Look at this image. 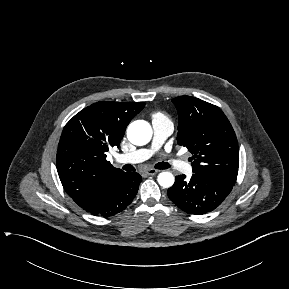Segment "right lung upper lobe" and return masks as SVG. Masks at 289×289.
<instances>
[{
	"label": "right lung upper lobe",
	"instance_id": "obj_1",
	"mask_svg": "<svg viewBox=\"0 0 289 289\" xmlns=\"http://www.w3.org/2000/svg\"><path fill=\"white\" fill-rule=\"evenodd\" d=\"M144 106V102H97L64 127L57 171L66 193L80 207L100 198L126 173L106 160V152L120 145L127 125Z\"/></svg>",
	"mask_w": 289,
	"mask_h": 289
}]
</instances>
